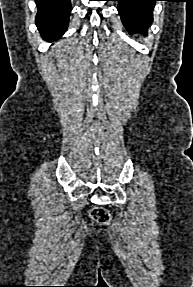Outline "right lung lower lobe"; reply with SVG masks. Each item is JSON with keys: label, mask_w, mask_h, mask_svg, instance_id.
Masks as SVG:
<instances>
[{"label": "right lung lower lobe", "mask_w": 193, "mask_h": 287, "mask_svg": "<svg viewBox=\"0 0 193 287\" xmlns=\"http://www.w3.org/2000/svg\"><path fill=\"white\" fill-rule=\"evenodd\" d=\"M36 25L45 40H56L66 31L72 10L70 0H35Z\"/></svg>", "instance_id": "1"}]
</instances>
